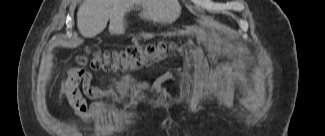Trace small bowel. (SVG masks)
I'll use <instances>...</instances> for the list:
<instances>
[{
  "label": "small bowel",
  "instance_id": "1",
  "mask_svg": "<svg viewBox=\"0 0 325 136\" xmlns=\"http://www.w3.org/2000/svg\"><path fill=\"white\" fill-rule=\"evenodd\" d=\"M70 78L67 81V89L65 91L59 92L60 98H65L70 103L71 108L75 115L83 117L89 114L88 107L85 100L79 93L78 87L81 85L84 92L88 96H95L99 93L91 85V73L83 69L71 68L69 69ZM178 76L175 72L168 71L161 75L153 84V88L158 95H160L164 100L172 102V96L162 87V83L170 80L177 79ZM147 84V83H145ZM62 89L65 87L63 84L60 86Z\"/></svg>",
  "mask_w": 325,
  "mask_h": 136
}]
</instances>
